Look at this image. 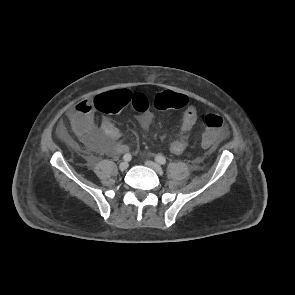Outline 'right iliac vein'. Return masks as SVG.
<instances>
[{
  "label": "right iliac vein",
  "mask_w": 295,
  "mask_h": 295,
  "mask_svg": "<svg viewBox=\"0 0 295 295\" xmlns=\"http://www.w3.org/2000/svg\"><path fill=\"white\" fill-rule=\"evenodd\" d=\"M128 166H129L128 162L123 161L120 163L119 168H120V170L124 171L128 168Z\"/></svg>",
  "instance_id": "right-iliac-vein-1"
}]
</instances>
